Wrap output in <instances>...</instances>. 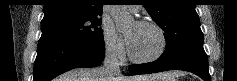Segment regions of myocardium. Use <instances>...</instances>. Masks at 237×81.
<instances>
[{"label":"myocardium","instance_id":"obj_1","mask_svg":"<svg viewBox=\"0 0 237 81\" xmlns=\"http://www.w3.org/2000/svg\"><path fill=\"white\" fill-rule=\"evenodd\" d=\"M136 24L141 25V26H149L153 28L159 36L160 46L158 50L152 55H149L146 57H137L132 53L131 48L128 45L127 51H128V56L130 60L135 63H149V62H153L159 59L164 54L167 48V38L163 29L157 23L150 20H146V19H140L136 22Z\"/></svg>","mask_w":237,"mask_h":81}]
</instances>
